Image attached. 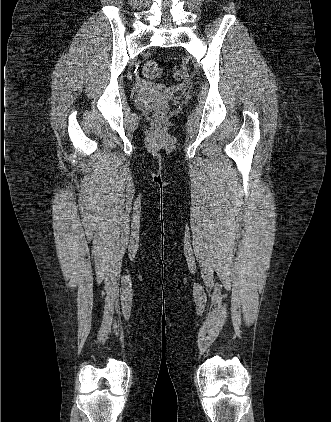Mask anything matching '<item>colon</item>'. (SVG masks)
<instances>
[{
    "label": "colon",
    "mask_w": 331,
    "mask_h": 422,
    "mask_svg": "<svg viewBox=\"0 0 331 422\" xmlns=\"http://www.w3.org/2000/svg\"><path fill=\"white\" fill-rule=\"evenodd\" d=\"M143 75L146 78L154 79L161 75V68L159 64L155 61H148L143 66ZM175 77L176 80L180 81L184 78V71L182 69H177L175 71ZM167 113V107L166 106H160L155 110V117L158 119L163 118Z\"/></svg>",
    "instance_id": "obj_1"
}]
</instances>
